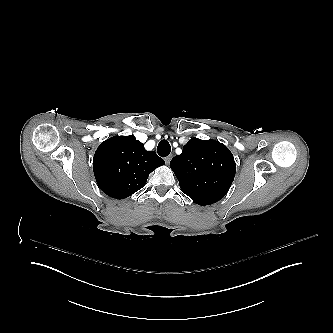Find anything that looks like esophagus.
<instances>
[{
  "instance_id": "34e87169",
  "label": "esophagus",
  "mask_w": 333,
  "mask_h": 333,
  "mask_svg": "<svg viewBox=\"0 0 333 333\" xmlns=\"http://www.w3.org/2000/svg\"><path fill=\"white\" fill-rule=\"evenodd\" d=\"M171 158H172L171 155H169L168 157L165 158L166 164H169V162L171 161Z\"/></svg>"
}]
</instances>
